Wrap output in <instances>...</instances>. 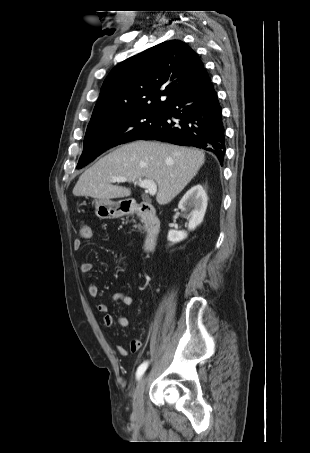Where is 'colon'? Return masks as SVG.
Wrapping results in <instances>:
<instances>
[{
  "instance_id": "colon-1",
  "label": "colon",
  "mask_w": 310,
  "mask_h": 453,
  "mask_svg": "<svg viewBox=\"0 0 310 453\" xmlns=\"http://www.w3.org/2000/svg\"><path fill=\"white\" fill-rule=\"evenodd\" d=\"M82 237L87 238L91 235V227L88 224H83L80 229Z\"/></svg>"
}]
</instances>
